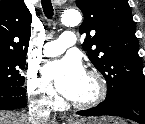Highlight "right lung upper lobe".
Returning <instances> with one entry per match:
<instances>
[{"instance_id": "cb5924a9", "label": "right lung upper lobe", "mask_w": 145, "mask_h": 124, "mask_svg": "<svg viewBox=\"0 0 145 124\" xmlns=\"http://www.w3.org/2000/svg\"><path fill=\"white\" fill-rule=\"evenodd\" d=\"M31 14L24 0L0 1V53L26 56Z\"/></svg>"}]
</instances>
